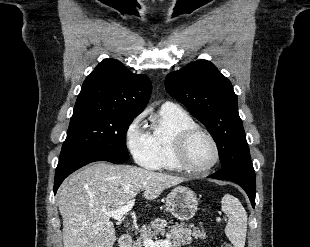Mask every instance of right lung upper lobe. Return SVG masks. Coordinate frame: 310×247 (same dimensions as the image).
Returning <instances> with one entry per match:
<instances>
[{
    "instance_id": "cb5924a9",
    "label": "right lung upper lobe",
    "mask_w": 310,
    "mask_h": 247,
    "mask_svg": "<svg viewBox=\"0 0 310 247\" xmlns=\"http://www.w3.org/2000/svg\"><path fill=\"white\" fill-rule=\"evenodd\" d=\"M152 91L146 75L130 72L120 61L104 59L85 79L74 111H108L137 116Z\"/></svg>"
}]
</instances>
